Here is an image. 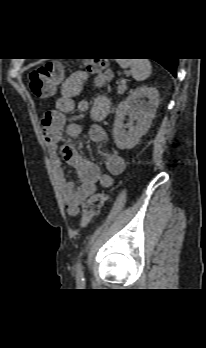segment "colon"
<instances>
[{
	"mask_svg": "<svg viewBox=\"0 0 206 348\" xmlns=\"http://www.w3.org/2000/svg\"><path fill=\"white\" fill-rule=\"evenodd\" d=\"M87 71L96 76V84L103 85L108 82L112 74L107 69L104 60H92L86 64ZM63 75V65L60 62H50L35 68L30 74L31 91L37 97L52 95ZM107 200L104 193H96L84 204L80 218V226H87L94 217L100 214L102 206Z\"/></svg>",
	"mask_w": 206,
	"mask_h": 348,
	"instance_id": "obj_1",
	"label": "colon"
}]
</instances>
